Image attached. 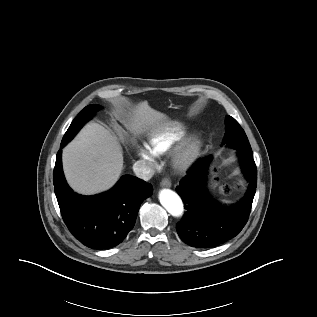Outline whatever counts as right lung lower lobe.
Segmentation results:
<instances>
[{
    "mask_svg": "<svg viewBox=\"0 0 317 317\" xmlns=\"http://www.w3.org/2000/svg\"><path fill=\"white\" fill-rule=\"evenodd\" d=\"M67 143L61 142L63 148ZM62 149L56 156L53 182L56 198L70 232L91 249H109L120 244L132 230L139 207L153 188L136 177L122 176L109 191L83 196L67 184L61 161Z\"/></svg>",
    "mask_w": 317,
    "mask_h": 317,
    "instance_id": "1",
    "label": "right lung lower lobe"
}]
</instances>
